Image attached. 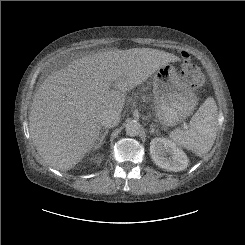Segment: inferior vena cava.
<instances>
[{
	"instance_id": "inferior-vena-cava-1",
	"label": "inferior vena cava",
	"mask_w": 245,
	"mask_h": 245,
	"mask_svg": "<svg viewBox=\"0 0 245 245\" xmlns=\"http://www.w3.org/2000/svg\"><path fill=\"white\" fill-rule=\"evenodd\" d=\"M120 114L112 109L104 110L100 115V123L106 128H112L118 125Z\"/></svg>"
}]
</instances>
